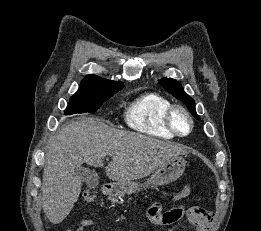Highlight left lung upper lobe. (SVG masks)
<instances>
[{"label": "left lung upper lobe", "mask_w": 261, "mask_h": 231, "mask_svg": "<svg viewBox=\"0 0 261 231\" xmlns=\"http://www.w3.org/2000/svg\"><path fill=\"white\" fill-rule=\"evenodd\" d=\"M159 84L163 86L174 97L184 102L187 105L189 111L193 114V116L196 119H200L195 110L194 100L184 92L180 83L171 78H164L159 80Z\"/></svg>", "instance_id": "5c2ea615"}]
</instances>
